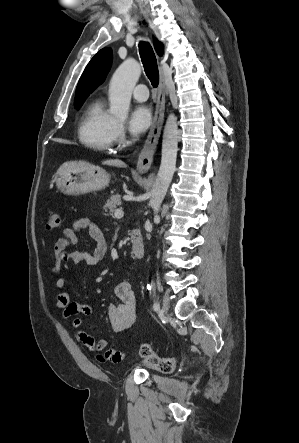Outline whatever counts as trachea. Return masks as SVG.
Returning a JSON list of instances; mask_svg holds the SVG:
<instances>
[{
  "mask_svg": "<svg viewBox=\"0 0 299 443\" xmlns=\"http://www.w3.org/2000/svg\"><path fill=\"white\" fill-rule=\"evenodd\" d=\"M139 53L141 61L143 63L144 71L152 86L156 88L159 83V71L156 56L151 45L148 42H140Z\"/></svg>",
  "mask_w": 299,
  "mask_h": 443,
  "instance_id": "3493384b",
  "label": "trachea"
}]
</instances>
